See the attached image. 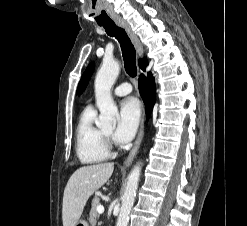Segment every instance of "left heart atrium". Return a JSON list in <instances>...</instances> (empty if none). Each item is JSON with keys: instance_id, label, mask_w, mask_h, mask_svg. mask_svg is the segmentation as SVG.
I'll use <instances>...</instances> for the list:
<instances>
[{"instance_id": "obj_1", "label": "left heart atrium", "mask_w": 247, "mask_h": 226, "mask_svg": "<svg viewBox=\"0 0 247 226\" xmlns=\"http://www.w3.org/2000/svg\"><path fill=\"white\" fill-rule=\"evenodd\" d=\"M141 116V107L134 97L124 99L120 104L119 121L115 138L119 142H128L135 135Z\"/></svg>"}]
</instances>
